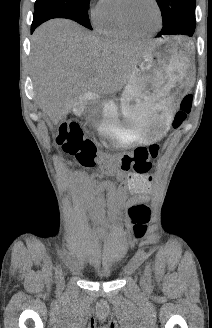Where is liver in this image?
<instances>
[{"instance_id": "6515ba94", "label": "liver", "mask_w": 212, "mask_h": 328, "mask_svg": "<svg viewBox=\"0 0 212 328\" xmlns=\"http://www.w3.org/2000/svg\"><path fill=\"white\" fill-rule=\"evenodd\" d=\"M147 50L104 39L67 19H52L36 29L31 59L37 103L58 124L86 94L121 91Z\"/></svg>"}]
</instances>
